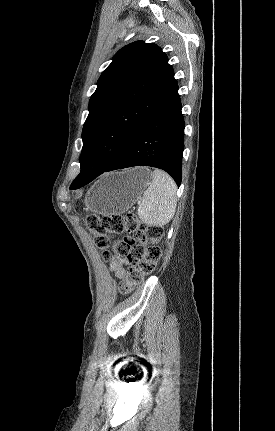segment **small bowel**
I'll list each match as a JSON object with an SVG mask.
<instances>
[{
    "label": "small bowel",
    "mask_w": 275,
    "mask_h": 431,
    "mask_svg": "<svg viewBox=\"0 0 275 431\" xmlns=\"http://www.w3.org/2000/svg\"><path fill=\"white\" fill-rule=\"evenodd\" d=\"M125 260L120 255H114L109 262V269L117 277H122L124 274Z\"/></svg>",
    "instance_id": "c3829d8e"
}]
</instances>
